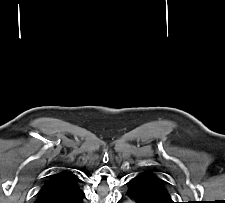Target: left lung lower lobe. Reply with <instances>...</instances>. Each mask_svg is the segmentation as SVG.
I'll return each instance as SVG.
<instances>
[{
    "instance_id": "1",
    "label": "left lung lower lobe",
    "mask_w": 225,
    "mask_h": 203,
    "mask_svg": "<svg viewBox=\"0 0 225 203\" xmlns=\"http://www.w3.org/2000/svg\"><path fill=\"white\" fill-rule=\"evenodd\" d=\"M126 195L135 203H162L151 196L135 178L126 183Z\"/></svg>"
}]
</instances>
